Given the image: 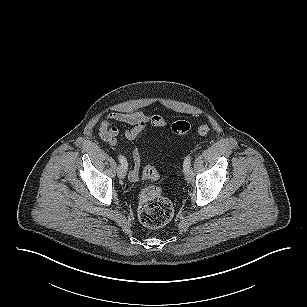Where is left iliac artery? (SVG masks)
I'll return each mask as SVG.
<instances>
[{
    "label": "left iliac artery",
    "mask_w": 307,
    "mask_h": 307,
    "mask_svg": "<svg viewBox=\"0 0 307 307\" xmlns=\"http://www.w3.org/2000/svg\"><path fill=\"white\" fill-rule=\"evenodd\" d=\"M189 166H191V156L188 155L187 157H185L184 163H183V168L184 170L186 168H188Z\"/></svg>",
    "instance_id": "obj_1"
}]
</instances>
